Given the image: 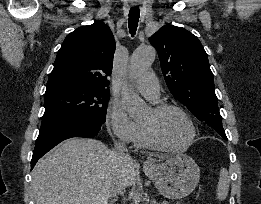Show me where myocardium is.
Returning a JSON list of instances; mask_svg holds the SVG:
<instances>
[{"mask_svg": "<svg viewBox=\"0 0 261 204\" xmlns=\"http://www.w3.org/2000/svg\"><path fill=\"white\" fill-rule=\"evenodd\" d=\"M174 110L179 112L188 122L190 127V136L187 141L181 145H171L166 143L159 135L155 123L156 120L166 111ZM152 114V120L150 122H142V126L151 141V143L158 149L168 150V151H181L188 148L194 141L196 137V126L191 118L190 114L180 105L173 103H159L155 104L150 108Z\"/></svg>", "mask_w": 261, "mask_h": 204, "instance_id": "obj_1", "label": "myocardium"}]
</instances>
